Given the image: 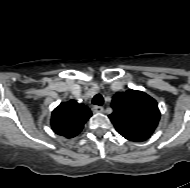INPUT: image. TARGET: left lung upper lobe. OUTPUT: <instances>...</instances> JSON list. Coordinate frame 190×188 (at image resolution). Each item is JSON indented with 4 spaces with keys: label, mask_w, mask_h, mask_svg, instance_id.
<instances>
[{
    "label": "left lung upper lobe",
    "mask_w": 190,
    "mask_h": 188,
    "mask_svg": "<svg viewBox=\"0 0 190 188\" xmlns=\"http://www.w3.org/2000/svg\"><path fill=\"white\" fill-rule=\"evenodd\" d=\"M111 106L114 111L108 117L116 130L151 136L158 125V104L145 92L132 89L118 92L114 95Z\"/></svg>",
    "instance_id": "left-lung-upper-lobe-1"
}]
</instances>
